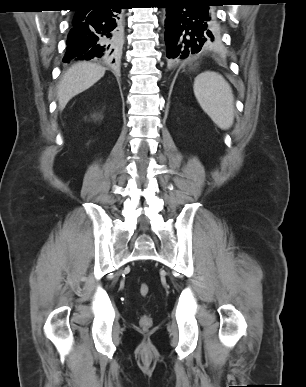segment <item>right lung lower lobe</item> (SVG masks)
Returning <instances> with one entry per match:
<instances>
[{"instance_id":"obj_1","label":"right lung lower lobe","mask_w":306,"mask_h":387,"mask_svg":"<svg viewBox=\"0 0 306 387\" xmlns=\"http://www.w3.org/2000/svg\"><path fill=\"white\" fill-rule=\"evenodd\" d=\"M122 6L120 1L101 0L75 10L63 61L114 62L121 46Z\"/></svg>"}]
</instances>
